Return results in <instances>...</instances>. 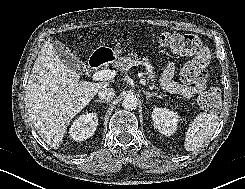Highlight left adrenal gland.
Returning a JSON list of instances; mask_svg holds the SVG:
<instances>
[{
  "label": "left adrenal gland",
  "instance_id": "1",
  "mask_svg": "<svg viewBox=\"0 0 245 189\" xmlns=\"http://www.w3.org/2000/svg\"><path fill=\"white\" fill-rule=\"evenodd\" d=\"M143 93L146 95V99H147V100L150 99V98L153 97V96L161 98V96L158 95V94L155 93V92L143 91Z\"/></svg>",
  "mask_w": 245,
  "mask_h": 189
}]
</instances>
